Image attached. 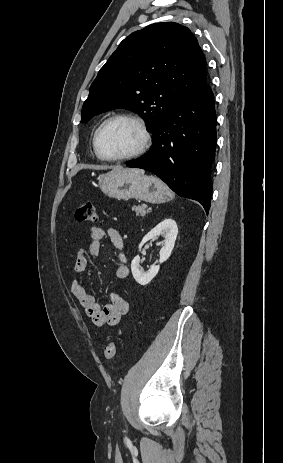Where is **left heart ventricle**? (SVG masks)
Wrapping results in <instances>:
<instances>
[{"instance_id":"left-heart-ventricle-1","label":"left heart ventricle","mask_w":283,"mask_h":463,"mask_svg":"<svg viewBox=\"0 0 283 463\" xmlns=\"http://www.w3.org/2000/svg\"><path fill=\"white\" fill-rule=\"evenodd\" d=\"M141 142L138 127L127 120L107 125L99 137V149L104 156L117 157L132 153Z\"/></svg>"}]
</instances>
